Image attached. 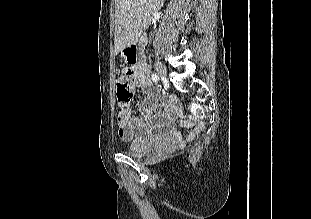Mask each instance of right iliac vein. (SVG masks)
I'll use <instances>...</instances> for the list:
<instances>
[{
  "label": "right iliac vein",
  "mask_w": 311,
  "mask_h": 219,
  "mask_svg": "<svg viewBox=\"0 0 311 219\" xmlns=\"http://www.w3.org/2000/svg\"><path fill=\"white\" fill-rule=\"evenodd\" d=\"M155 68H156L160 77H162V78L166 77V73H167L166 68L164 67V65L161 62L156 61L155 62Z\"/></svg>",
  "instance_id": "right-iliac-vein-1"
}]
</instances>
